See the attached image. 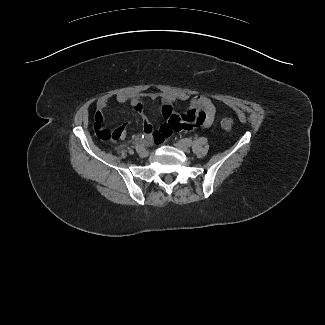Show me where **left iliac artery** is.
<instances>
[{"label":"left iliac artery","mask_w":325,"mask_h":325,"mask_svg":"<svg viewBox=\"0 0 325 325\" xmlns=\"http://www.w3.org/2000/svg\"><path fill=\"white\" fill-rule=\"evenodd\" d=\"M181 142L185 144L186 146H191L192 141L189 138L182 139Z\"/></svg>","instance_id":"left-iliac-artery-1"}]
</instances>
